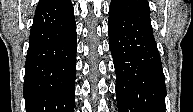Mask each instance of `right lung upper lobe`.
I'll return each instance as SVG.
<instances>
[{"mask_svg": "<svg viewBox=\"0 0 193 112\" xmlns=\"http://www.w3.org/2000/svg\"><path fill=\"white\" fill-rule=\"evenodd\" d=\"M49 1H51V0H40L39 3H38L37 8L40 7V6H42V5H44V4H46V3L49 2Z\"/></svg>", "mask_w": 193, "mask_h": 112, "instance_id": "obj_1", "label": "right lung upper lobe"}]
</instances>
